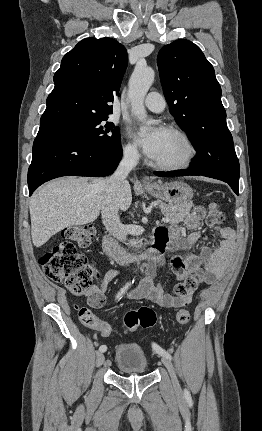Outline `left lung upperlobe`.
Segmentation results:
<instances>
[{"instance_id":"1","label":"left lung upper lobe","mask_w":262,"mask_h":431,"mask_svg":"<svg viewBox=\"0 0 262 431\" xmlns=\"http://www.w3.org/2000/svg\"><path fill=\"white\" fill-rule=\"evenodd\" d=\"M157 64L170 113L197 151L192 170L239 183V161L213 66L197 45L183 39L162 47Z\"/></svg>"}]
</instances>
